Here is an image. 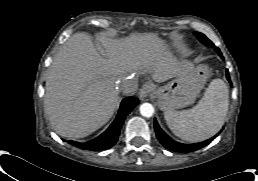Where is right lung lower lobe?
I'll return each mask as SVG.
<instances>
[{
  "instance_id": "1",
  "label": "right lung lower lobe",
  "mask_w": 258,
  "mask_h": 181,
  "mask_svg": "<svg viewBox=\"0 0 258 181\" xmlns=\"http://www.w3.org/2000/svg\"><path fill=\"white\" fill-rule=\"evenodd\" d=\"M139 103V100L135 97L125 98L120 106V110L114 122L110 127L97 138L88 141L86 143L68 141V143L83 149L90 151H101L111 148L118 140L120 129L124 123L125 117L132 111V109Z\"/></svg>"
}]
</instances>
